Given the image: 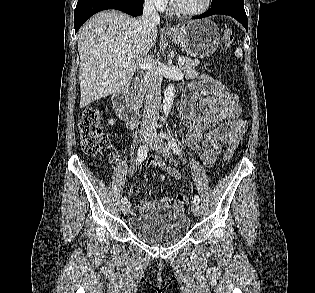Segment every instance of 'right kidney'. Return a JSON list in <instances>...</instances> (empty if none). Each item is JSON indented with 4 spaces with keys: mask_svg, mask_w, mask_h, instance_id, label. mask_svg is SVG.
<instances>
[{
    "mask_svg": "<svg viewBox=\"0 0 315 293\" xmlns=\"http://www.w3.org/2000/svg\"><path fill=\"white\" fill-rule=\"evenodd\" d=\"M114 123H115V121H114L113 119H110V120H109V124H110V125H114Z\"/></svg>",
    "mask_w": 315,
    "mask_h": 293,
    "instance_id": "right-kidney-1",
    "label": "right kidney"
}]
</instances>
